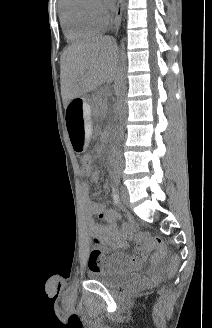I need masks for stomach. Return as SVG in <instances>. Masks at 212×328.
<instances>
[{
    "instance_id": "obj_1",
    "label": "stomach",
    "mask_w": 212,
    "mask_h": 328,
    "mask_svg": "<svg viewBox=\"0 0 212 328\" xmlns=\"http://www.w3.org/2000/svg\"><path fill=\"white\" fill-rule=\"evenodd\" d=\"M89 102H67L65 105L64 128L76 152L83 151L89 140Z\"/></svg>"
}]
</instances>
